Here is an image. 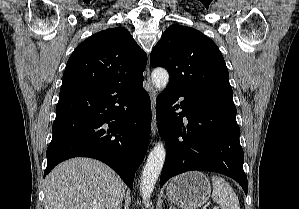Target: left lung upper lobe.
Instances as JSON below:
<instances>
[{
  "label": "left lung upper lobe",
  "mask_w": 299,
  "mask_h": 209,
  "mask_svg": "<svg viewBox=\"0 0 299 209\" xmlns=\"http://www.w3.org/2000/svg\"><path fill=\"white\" fill-rule=\"evenodd\" d=\"M152 67H164L169 84L232 92L224 58L216 44L200 31L173 24L150 55Z\"/></svg>",
  "instance_id": "left-lung-upper-lobe-1"
}]
</instances>
